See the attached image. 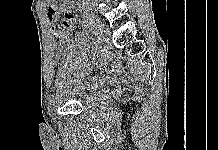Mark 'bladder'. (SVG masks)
Here are the masks:
<instances>
[{"instance_id": "bladder-1", "label": "bladder", "mask_w": 218, "mask_h": 150, "mask_svg": "<svg viewBox=\"0 0 218 150\" xmlns=\"http://www.w3.org/2000/svg\"><path fill=\"white\" fill-rule=\"evenodd\" d=\"M72 62H74L72 59H66L59 68L56 75L57 90L66 99L87 105L90 102L91 93L86 79L80 76V72L74 67Z\"/></svg>"}]
</instances>
